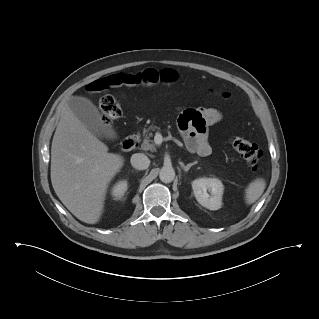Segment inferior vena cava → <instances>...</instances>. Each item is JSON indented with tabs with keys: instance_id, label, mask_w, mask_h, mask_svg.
Masks as SVG:
<instances>
[{
	"instance_id": "inferior-vena-cava-1",
	"label": "inferior vena cava",
	"mask_w": 319,
	"mask_h": 319,
	"mask_svg": "<svg viewBox=\"0 0 319 319\" xmlns=\"http://www.w3.org/2000/svg\"><path fill=\"white\" fill-rule=\"evenodd\" d=\"M130 161L131 165L138 170H145L150 165L149 158L143 153L133 154Z\"/></svg>"
}]
</instances>
